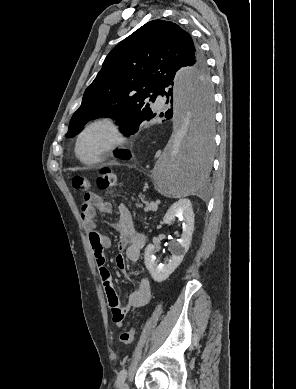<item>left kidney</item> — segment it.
<instances>
[{"label": "left kidney", "instance_id": "1", "mask_svg": "<svg viewBox=\"0 0 296 389\" xmlns=\"http://www.w3.org/2000/svg\"><path fill=\"white\" fill-rule=\"evenodd\" d=\"M178 217L183 221V232L178 242L171 245V258L163 264L158 263L155 252L158 247L149 244L145 249L144 262L154 281L160 283L165 281L181 264L187 253L194 231V213L192 204L188 199H180L175 202L163 218L165 224H171Z\"/></svg>", "mask_w": 296, "mask_h": 389}]
</instances>
